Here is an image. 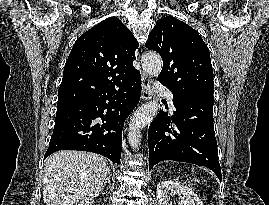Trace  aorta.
<instances>
[{
  "label": "aorta",
  "instance_id": "aorta-1",
  "mask_svg": "<svg viewBox=\"0 0 269 205\" xmlns=\"http://www.w3.org/2000/svg\"><path fill=\"white\" fill-rule=\"evenodd\" d=\"M143 70L150 76L157 77L162 70V60L159 54L147 52L141 59ZM159 110L157 101L143 104L133 115L129 124L128 141L135 150L141 142V129L150 123Z\"/></svg>",
  "mask_w": 269,
  "mask_h": 205
}]
</instances>
